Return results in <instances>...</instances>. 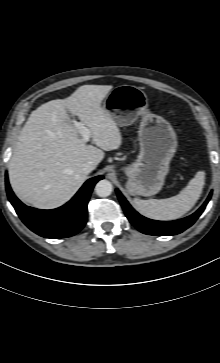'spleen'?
<instances>
[{"instance_id":"spleen-1","label":"spleen","mask_w":220,"mask_h":363,"mask_svg":"<svg viewBox=\"0 0 220 363\" xmlns=\"http://www.w3.org/2000/svg\"><path fill=\"white\" fill-rule=\"evenodd\" d=\"M205 182V173L198 171L188 185L176 196L167 199L141 200L134 198L136 209L145 217L159 220L171 221L181 218L198 201Z\"/></svg>"}]
</instances>
